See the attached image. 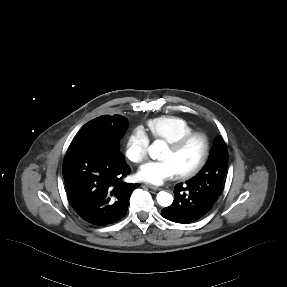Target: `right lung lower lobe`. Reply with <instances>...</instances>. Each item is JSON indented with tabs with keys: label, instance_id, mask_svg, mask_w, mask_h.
<instances>
[{
	"label": "right lung lower lobe",
	"instance_id": "98d812e1",
	"mask_svg": "<svg viewBox=\"0 0 287 287\" xmlns=\"http://www.w3.org/2000/svg\"><path fill=\"white\" fill-rule=\"evenodd\" d=\"M130 171L121 152L94 148L67 151L63 177L75 212L96 226L119 221L127 212L132 191L140 186L122 181Z\"/></svg>",
	"mask_w": 287,
	"mask_h": 287
}]
</instances>
